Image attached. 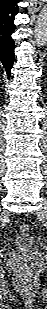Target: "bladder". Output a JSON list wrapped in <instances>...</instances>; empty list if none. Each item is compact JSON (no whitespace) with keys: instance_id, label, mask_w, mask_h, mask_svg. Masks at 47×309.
Masks as SVG:
<instances>
[{"instance_id":"bladder-1","label":"bladder","mask_w":47,"mask_h":309,"mask_svg":"<svg viewBox=\"0 0 47 309\" xmlns=\"http://www.w3.org/2000/svg\"><path fill=\"white\" fill-rule=\"evenodd\" d=\"M36 240L29 234L21 235L17 240V245L22 248H31L35 246Z\"/></svg>"}]
</instances>
